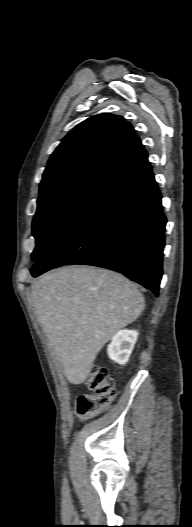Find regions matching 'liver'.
<instances>
[{"label":"liver","mask_w":192,"mask_h":527,"mask_svg":"<svg viewBox=\"0 0 192 527\" xmlns=\"http://www.w3.org/2000/svg\"><path fill=\"white\" fill-rule=\"evenodd\" d=\"M36 316L71 384L88 377L97 354L144 309L137 285L123 275L68 266L31 286Z\"/></svg>","instance_id":"1"}]
</instances>
